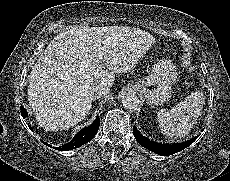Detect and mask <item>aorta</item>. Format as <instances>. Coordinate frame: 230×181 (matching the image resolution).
Returning a JSON list of instances; mask_svg holds the SVG:
<instances>
[{
    "label": "aorta",
    "instance_id": "1",
    "mask_svg": "<svg viewBox=\"0 0 230 181\" xmlns=\"http://www.w3.org/2000/svg\"><path fill=\"white\" fill-rule=\"evenodd\" d=\"M122 105L126 110L135 111L141 106L139 98L132 93H127L122 97Z\"/></svg>",
    "mask_w": 230,
    "mask_h": 181
}]
</instances>
